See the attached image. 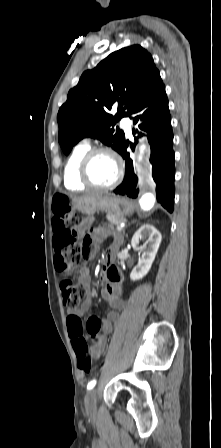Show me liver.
Here are the masks:
<instances>
[{
	"instance_id": "obj_1",
	"label": "liver",
	"mask_w": 221,
	"mask_h": 448,
	"mask_svg": "<svg viewBox=\"0 0 221 448\" xmlns=\"http://www.w3.org/2000/svg\"><path fill=\"white\" fill-rule=\"evenodd\" d=\"M99 194H102V193H91V194H86V195H83L82 197H79V198L75 199V202H78V201H86V200H88V199H91V198L95 197L96 195H99Z\"/></svg>"
}]
</instances>
